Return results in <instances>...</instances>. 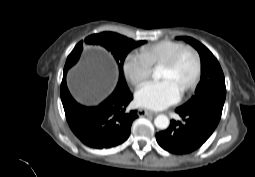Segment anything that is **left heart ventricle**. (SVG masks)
I'll list each match as a JSON object with an SVG mask.
<instances>
[{
    "label": "left heart ventricle",
    "instance_id": "obj_1",
    "mask_svg": "<svg viewBox=\"0 0 255 177\" xmlns=\"http://www.w3.org/2000/svg\"><path fill=\"white\" fill-rule=\"evenodd\" d=\"M196 70V60L192 53L186 52L174 69L161 67L159 76L163 80L171 81L181 92L192 81Z\"/></svg>",
    "mask_w": 255,
    "mask_h": 177
}]
</instances>
